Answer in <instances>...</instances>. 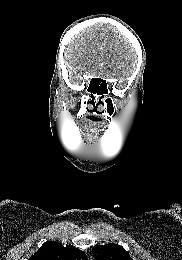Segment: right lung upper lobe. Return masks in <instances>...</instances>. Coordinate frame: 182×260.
<instances>
[{
	"label": "right lung upper lobe",
	"mask_w": 182,
	"mask_h": 260,
	"mask_svg": "<svg viewBox=\"0 0 182 260\" xmlns=\"http://www.w3.org/2000/svg\"><path fill=\"white\" fill-rule=\"evenodd\" d=\"M29 260H87V256L72 245L64 247L56 241H49L45 242Z\"/></svg>",
	"instance_id": "obj_1"
}]
</instances>
